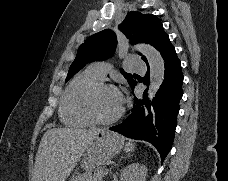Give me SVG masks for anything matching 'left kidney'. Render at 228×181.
<instances>
[{
    "instance_id": "5707ae66",
    "label": "left kidney",
    "mask_w": 228,
    "mask_h": 181,
    "mask_svg": "<svg viewBox=\"0 0 228 181\" xmlns=\"http://www.w3.org/2000/svg\"><path fill=\"white\" fill-rule=\"evenodd\" d=\"M147 167L141 163H132L123 169L120 181H146Z\"/></svg>"
}]
</instances>
